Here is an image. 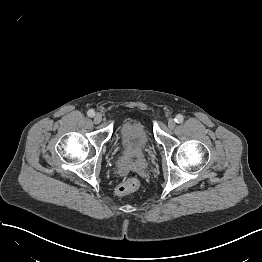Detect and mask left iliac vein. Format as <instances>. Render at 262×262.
I'll return each mask as SVG.
<instances>
[{
    "instance_id": "4c4485c4",
    "label": "left iliac vein",
    "mask_w": 262,
    "mask_h": 262,
    "mask_svg": "<svg viewBox=\"0 0 262 262\" xmlns=\"http://www.w3.org/2000/svg\"><path fill=\"white\" fill-rule=\"evenodd\" d=\"M175 125H176L175 121H174L173 119H169V121H168V127H169L170 129H173V128L175 127Z\"/></svg>"
}]
</instances>
